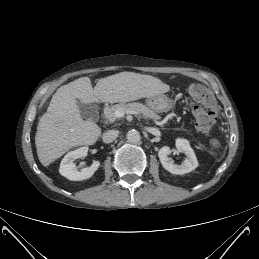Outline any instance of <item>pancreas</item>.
<instances>
[{"mask_svg": "<svg viewBox=\"0 0 259 259\" xmlns=\"http://www.w3.org/2000/svg\"><path fill=\"white\" fill-rule=\"evenodd\" d=\"M117 110H123L126 113L137 111L142 113L145 117L149 119H152V120L160 119V116L156 114L154 111H152L151 109H149L147 106L139 102H134V103H128V104H124V103L116 104L111 106L110 108H107L104 112V115L111 123H113L118 119V117L115 115V112Z\"/></svg>", "mask_w": 259, "mask_h": 259, "instance_id": "pancreas-1", "label": "pancreas"}]
</instances>
